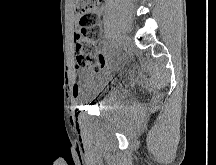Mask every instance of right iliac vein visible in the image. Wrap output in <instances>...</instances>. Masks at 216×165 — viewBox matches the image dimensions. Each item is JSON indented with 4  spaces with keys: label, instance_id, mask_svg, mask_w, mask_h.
Wrapping results in <instances>:
<instances>
[{
    "label": "right iliac vein",
    "instance_id": "obj_1",
    "mask_svg": "<svg viewBox=\"0 0 216 165\" xmlns=\"http://www.w3.org/2000/svg\"><path fill=\"white\" fill-rule=\"evenodd\" d=\"M122 42H123V37L119 36L117 39V44L115 45V53H118L120 51Z\"/></svg>",
    "mask_w": 216,
    "mask_h": 165
}]
</instances>
